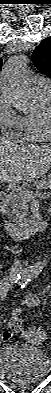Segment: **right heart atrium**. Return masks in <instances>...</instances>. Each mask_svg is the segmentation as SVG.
Listing matches in <instances>:
<instances>
[{"label": "right heart atrium", "mask_w": 51, "mask_h": 393, "mask_svg": "<svg viewBox=\"0 0 51 393\" xmlns=\"http://www.w3.org/2000/svg\"><path fill=\"white\" fill-rule=\"evenodd\" d=\"M22 117L17 114L10 102L3 98L0 100V129L2 132L12 135L21 136Z\"/></svg>", "instance_id": "right-heart-atrium-1"}]
</instances>
